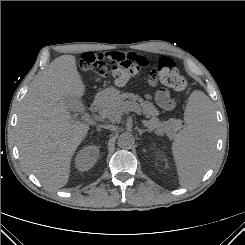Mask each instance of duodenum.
Masks as SVG:
<instances>
[{
  "label": "duodenum",
  "instance_id": "duodenum-1",
  "mask_svg": "<svg viewBox=\"0 0 245 245\" xmlns=\"http://www.w3.org/2000/svg\"><path fill=\"white\" fill-rule=\"evenodd\" d=\"M108 97L106 95H99L92 103L91 110L95 113L101 111L106 105Z\"/></svg>",
  "mask_w": 245,
  "mask_h": 245
}]
</instances>
